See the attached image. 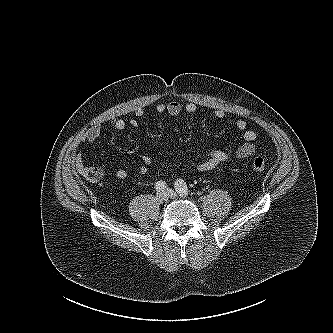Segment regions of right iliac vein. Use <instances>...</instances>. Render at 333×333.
I'll use <instances>...</instances> for the list:
<instances>
[{
  "mask_svg": "<svg viewBox=\"0 0 333 333\" xmlns=\"http://www.w3.org/2000/svg\"><path fill=\"white\" fill-rule=\"evenodd\" d=\"M157 197L163 201H166L169 198V195L166 190H162L157 192Z\"/></svg>",
  "mask_w": 333,
  "mask_h": 333,
  "instance_id": "63e3f726",
  "label": "right iliac vein"
}]
</instances>
